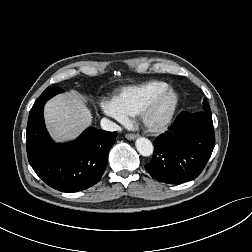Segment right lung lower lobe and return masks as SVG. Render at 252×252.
I'll list each match as a JSON object with an SVG mask.
<instances>
[{
    "instance_id": "1",
    "label": "right lung lower lobe",
    "mask_w": 252,
    "mask_h": 252,
    "mask_svg": "<svg viewBox=\"0 0 252 252\" xmlns=\"http://www.w3.org/2000/svg\"><path fill=\"white\" fill-rule=\"evenodd\" d=\"M44 104L31 109L28 118L26 147L30 165L47 185L62 192L93 186L106 169L117 133L89 127L75 141L56 145L45 128Z\"/></svg>"
}]
</instances>
